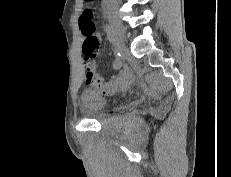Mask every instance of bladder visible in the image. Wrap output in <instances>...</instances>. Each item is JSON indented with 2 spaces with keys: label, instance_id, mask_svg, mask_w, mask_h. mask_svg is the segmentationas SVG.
<instances>
[{
  "label": "bladder",
  "instance_id": "obj_1",
  "mask_svg": "<svg viewBox=\"0 0 231 177\" xmlns=\"http://www.w3.org/2000/svg\"><path fill=\"white\" fill-rule=\"evenodd\" d=\"M79 105L83 111L89 115L95 116L100 115L108 108L109 101L99 92L86 89L81 93L79 97Z\"/></svg>",
  "mask_w": 231,
  "mask_h": 177
}]
</instances>
